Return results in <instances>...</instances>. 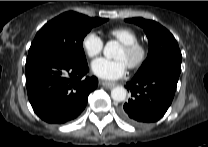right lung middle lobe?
<instances>
[{
  "instance_id": "dd1d6c3e",
  "label": "right lung middle lobe",
  "mask_w": 208,
  "mask_h": 147,
  "mask_svg": "<svg viewBox=\"0 0 208 147\" xmlns=\"http://www.w3.org/2000/svg\"><path fill=\"white\" fill-rule=\"evenodd\" d=\"M106 18H90L69 11L46 23L36 34L26 62L46 56H63L75 62L87 63L83 39L95 26Z\"/></svg>"
}]
</instances>
